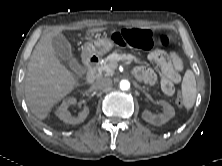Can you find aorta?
I'll use <instances>...</instances> for the list:
<instances>
[{"mask_svg": "<svg viewBox=\"0 0 222 166\" xmlns=\"http://www.w3.org/2000/svg\"><path fill=\"white\" fill-rule=\"evenodd\" d=\"M130 88V82L128 80H121L120 81V89L121 90H128Z\"/></svg>", "mask_w": 222, "mask_h": 166, "instance_id": "762f6f07", "label": "aorta"}]
</instances>
